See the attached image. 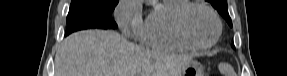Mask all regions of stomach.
<instances>
[{
    "label": "stomach",
    "instance_id": "0dacf381",
    "mask_svg": "<svg viewBox=\"0 0 287 76\" xmlns=\"http://www.w3.org/2000/svg\"><path fill=\"white\" fill-rule=\"evenodd\" d=\"M181 76H203V67L198 61L191 60Z\"/></svg>",
    "mask_w": 287,
    "mask_h": 76
}]
</instances>
